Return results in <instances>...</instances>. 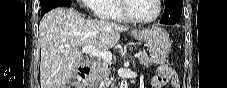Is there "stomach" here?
<instances>
[{
  "label": "stomach",
  "instance_id": "stomach-1",
  "mask_svg": "<svg viewBox=\"0 0 227 88\" xmlns=\"http://www.w3.org/2000/svg\"><path fill=\"white\" fill-rule=\"evenodd\" d=\"M131 35L144 42L149 53L154 58L164 60L170 53L171 43L167 31L159 26H153L141 31H133Z\"/></svg>",
  "mask_w": 227,
  "mask_h": 88
}]
</instances>
